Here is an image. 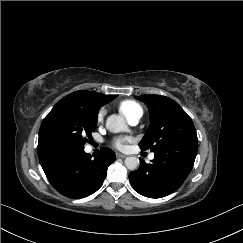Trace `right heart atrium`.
Returning <instances> with one entry per match:
<instances>
[{"instance_id": "obj_1", "label": "right heart atrium", "mask_w": 243, "mask_h": 243, "mask_svg": "<svg viewBox=\"0 0 243 243\" xmlns=\"http://www.w3.org/2000/svg\"><path fill=\"white\" fill-rule=\"evenodd\" d=\"M104 115H105V111L103 109L99 110L97 114L98 123H101L103 121Z\"/></svg>"}]
</instances>
